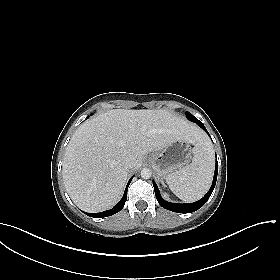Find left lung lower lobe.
<instances>
[{"label": "left lung lower lobe", "mask_w": 280, "mask_h": 280, "mask_svg": "<svg viewBox=\"0 0 280 280\" xmlns=\"http://www.w3.org/2000/svg\"><path fill=\"white\" fill-rule=\"evenodd\" d=\"M191 121L197 123L202 129L205 130V132L208 133L206 128L203 126L202 122H200L199 120H195V119H191ZM217 173H218V163H217V159H216L215 173H214V178H213L211 188L209 189L207 194L197 202L189 203V204H176V203L167 202L164 199H162V197L160 195V192L158 190V187H157L156 183L153 181L155 196H156L159 204L167 210H170V211H173V212H178V213L194 212V211L198 210L199 208H201L206 203V201L209 199V197H210V195H211V193H212V191L215 187V184H216Z\"/></svg>", "instance_id": "0a47b994"}]
</instances>
